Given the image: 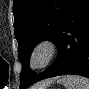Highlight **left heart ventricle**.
Returning a JSON list of instances; mask_svg holds the SVG:
<instances>
[{"label":"left heart ventricle","mask_w":89,"mask_h":89,"mask_svg":"<svg viewBox=\"0 0 89 89\" xmlns=\"http://www.w3.org/2000/svg\"><path fill=\"white\" fill-rule=\"evenodd\" d=\"M43 58H44V52L43 51L38 52L37 55L35 56L34 60L35 64H40Z\"/></svg>","instance_id":"1"}]
</instances>
